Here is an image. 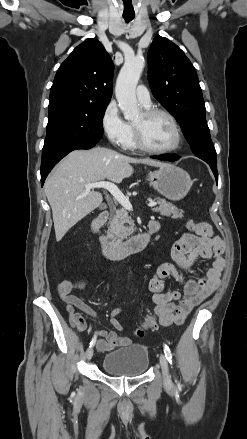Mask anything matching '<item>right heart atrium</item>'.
<instances>
[{"label": "right heart atrium", "instance_id": "1", "mask_svg": "<svg viewBox=\"0 0 247 439\" xmlns=\"http://www.w3.org/2000/svg\"><path fill=\"white\" fill-rule=\"evenodd\" d=\"M101 127L108 141L123 147L130 134L129 124L122 118L115 102H110L101 116Z\"/></svg>", "mask_w": 247, "mask_h": 439}]
</instances>
